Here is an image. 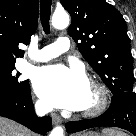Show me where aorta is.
Returning a JSON list of instances; mask_svg holds the SVG:
<instances>
[{"label":"aorta","mask_w":136,"mask_h":136,"mask_svg":"<svg viewBox=\"0 0 136 136\" xmlns=\"http://www.w3.org/2000/svg\"><path fill=\"white\" fill-rule=\"evenodd\" d=\"M69 15L65 11H56L52 16V26L56 29H64L69 25ZM50 136H64V130L61 126L55 127Z\"/></svg>","instance_id":"obj_1"}]
</instances>
